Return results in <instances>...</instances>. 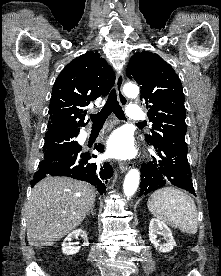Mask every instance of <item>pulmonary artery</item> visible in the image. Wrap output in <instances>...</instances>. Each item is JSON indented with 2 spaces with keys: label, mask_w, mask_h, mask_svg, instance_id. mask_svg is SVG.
I'll return each instance as SVG.
<instances>
[{
  "label": "pulmonary artery",
  "mask_w": 221,
  "mask_h": 276,
  "mask_svg": "<svg viewBox=\"0 0 221 276\" xmlns=\"http://www.w3.org/2000/svg\"><path fill=\"white\" fill-rule=\"evenodd\" d=\"M128 117L133 121L143 120L145 117L144 111L138 105L132 104L127 109Z\"/></svg>",
  "instance_id": "e3ab8cb5"
}]
</instances>
